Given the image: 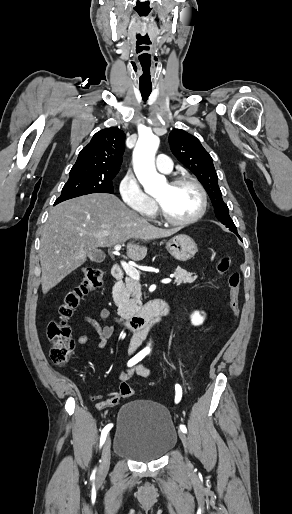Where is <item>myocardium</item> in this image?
Instances as JSON below:
<instances>
[{
    "instance_id": "1",
    "label": "myocardium",
    "mask_w": 292,
    "mask_h": 514,
    "mask_svg": "<svg viewBox=\"0 0 292 514\" xmlns=\"http://www.w3.org/2000/svg\"><path fill=\"white\" fill-rule=\"evenodd\" d=\"M181 185L192 186L199 195V207H198L197 211L195 212V214L192 215L191 217H189L187 219H182V220L174 219L165 212V210L162 208V206L159 204V202L157 200L155 201L157 211L159 212L161 218L165 222H167L171 225H175V226H186V225L196 222L204 214V212L206 210V204H207L205 190L197 180H195L193 178H189V177H177L168 184V186H170V187H177V186H181Z\"/></svg>"
}]
</instances>
